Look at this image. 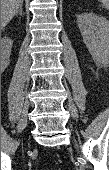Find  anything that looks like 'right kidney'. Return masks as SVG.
I'll use <instances>...</instances> for the list:
<instances>
[{"label":"right kidney","mask_w":109,"mask_h":170,"mask_svg":"<svg viewBox=\"0 0 109 170\" xmlns=\"http://www.w3.org/2000/svg\"><path fill=\"white\" fill-rule=\"evenodd\" d=\"M13 41L7 37L1 39V68L5 69L9 65L10 54Z\"/></svg>","instance_id":"1"}]
</instances>
